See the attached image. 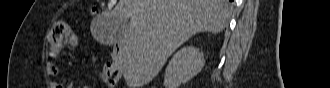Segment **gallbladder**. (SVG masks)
<instances>
[{"mask_svg": "<svg viewBox=\"0 0 330 88\" xmlns=\"http://www.w3.org/2000/svg\"><path fill=\"white\" fill-rule=\"evenodd\" d=\"M128 24L129 21H124V23L119 27V24L117 25V23H112L106 28V34L108 36V39L112 41L110 45L116 44L115 41L112 40V36L115 35L117 32H122L123 30H126Z\"/></svg>", "mask_w": 330, "mask_h": 88, "instance_id": "obj_1", "label": "gallbladder"}]
</instances>
